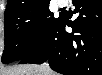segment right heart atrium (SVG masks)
Returning <instances> with one entry per match:
<instances>
[{
  "instance_id": "obj_1",
  "label": "right heart atrium",
  "mask_w": 102,
  "mask_h": 75,
  "mask_svg": "<svg viewBox=\"0 0 102 75\" xmlns=\"http://www.w3.org/2000/svg\"><path fill=\"white\" fill-rule=\"evenodd\" d=\"M40 35V31L37 29L32 30L31 32V38H37Z\"/></svg>"
}]
</instances>
